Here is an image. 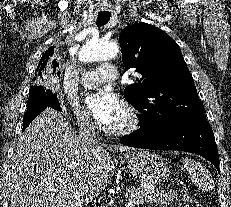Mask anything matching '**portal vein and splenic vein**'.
<instances>
[{"mask_svg":"<svg viewBox=\"0 0 231 207\" xmlns=\"http://www.w3.org/2000/svg\"><path fill=\"white\" fill-rule=\"evenodd\" d=\"M135 203H133L132 201H129L126 203V207H134Z\"/></svg>","mask_w":231,"mask_h":207,"instance_id":"1","label":"portal vein and splenic vein"}]
</instances>
